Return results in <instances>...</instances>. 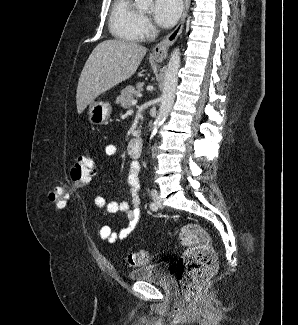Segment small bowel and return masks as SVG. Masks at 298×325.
Wrapping results in <instances>:
<instances>
[{
	"mask_svg": "<svg viewBox=\"0 0 298 325\" xmlns=\"http://www.w3.org/2000/svg\"><path fill=\"white\" fill-rule=\"evenodd\" d=\"M117 154V147L109 144L104 148L105 157H114ZM140 164L137 161H132L127 177V186L131 195V204L126 201L107 202L106 199L97 195L94 198L95 205L101 209V215L104 218L109 217L116 212L124 213L127 217V225L120 231H114L109 225H104L100 229V238L108 243H115L119 240H124L137 227L142 210V202L139 196L140 182H139Z\"/></svg>",
	"mask_w": 298,
	"mask_h": 325,
	"instance_id": "obj_1",
	"label": "small bowel"
}]
</instances>
